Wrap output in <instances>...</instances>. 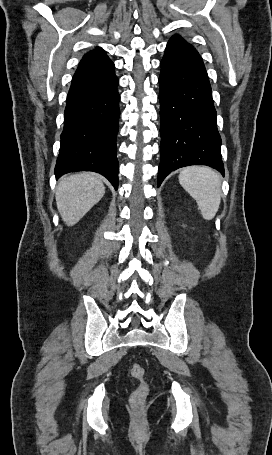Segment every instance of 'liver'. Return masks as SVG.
I'll return each instance as SVG.
<instances>
[{
	"label": "liver",
	"mask_w": 272,
	"mask_h": 455,
	"mask_svg": "<svg viewBox=\"0 0 272 455\" xmlns=\"http://www.w3.org/2000/svg\"><path fill=\"white\" fill-rule=\"evenodd\" d=\"M105 194L102 181L91 173L62 177L56 188V204L67 226L75 225Z\"/></svg>",
	"instance_id": "1"
}]
</instances>
